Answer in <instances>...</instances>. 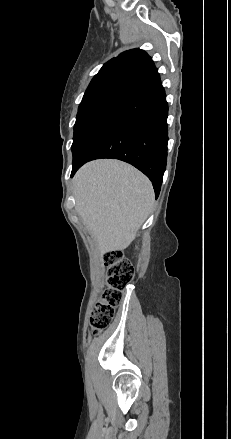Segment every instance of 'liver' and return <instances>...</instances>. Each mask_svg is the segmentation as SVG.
<instances>
[{
	"instance_id": "obj_1",
	"label": "liver",
	"mask_w": 231,
	"mask_h": 439,
	"mask_svg": "<svg viewBox=\"0 0 231 439\" xmlns=\"http://www.w3.org/2000/svg\"><path fill=\"white\" fill-rule=\"evenodd\" d=\"M73 194L75 209L101 254L126 248L154 205L150 180L118 160L101 159L81 167Z\"/></svg>"
}]
</instances>
